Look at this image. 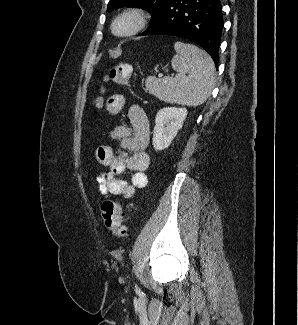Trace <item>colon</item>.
I'll return each mask as SVG.
<instances>
[{
    "instance_id": "1",
    "label": "colon",
    "mask_w": 298,
    "mask_h": 325,
    "mask_svg": "<svg viewBox=\"0 0 298 325\" xmlns=\"http://www.w3.org/2000/svg\"><path fill=\"white\" fill-rule=\"evenodd\" d=\"M132 67L127 63H119L112 67L105 79L117 85H127L131 76ZM97 107L102 105L101 98L95 101ZM101 216L105 227L117 237H125L127 228L124 224V213L121 205L115 200H105L101 205Z\"/></svg>"
}]
</instances>
